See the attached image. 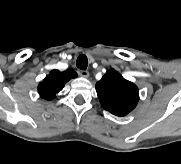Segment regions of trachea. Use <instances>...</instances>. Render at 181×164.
Here are the masks:
<instances>
[{
	"instance_id": "3493384b",
	"label": "trachea",
	"mask_w": 181,
	"mask_h": 164,
	"mask_svg": "<svg viewBox=\"0 0 181 164\" xmlns=\"http://www.w3.org/2000/svg\"><path fill=\"white\" fill-rule=\"evenodd\" d=\"M76 65L79 69L81 70H86L87 69V66H88V59L85 55H80L78 58H77V61H76Z\"/></svg>"
}]
</instances>
